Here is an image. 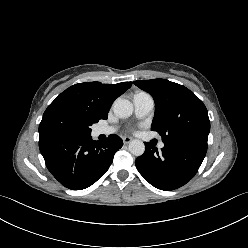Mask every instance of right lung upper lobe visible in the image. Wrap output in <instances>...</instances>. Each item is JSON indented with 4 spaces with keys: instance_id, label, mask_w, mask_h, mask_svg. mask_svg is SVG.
<instances>
[{
    "instance_id": "1",
    "label": "right lung upper lobe",
    "mask_w": 248,
    "mask_h": 248,
    "mask_svg": "<svg viewBox=\"0 0 248 248\" xmlns=\"http://www.w3.org/2000/svg\"><path fill=\"white\" fill-rule=\"evenodd\" d=\"M131 85L132 82L118 84L78 83L58 95L48 107L65 105L86 113L97 122L100 119L106 120L113 101Z\"/></svg>"
}]
</instances>
